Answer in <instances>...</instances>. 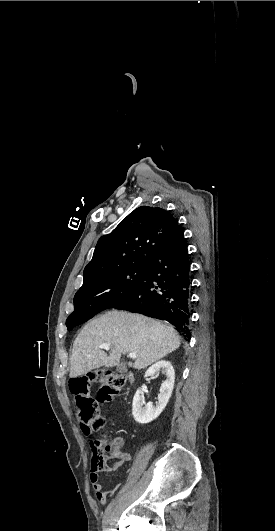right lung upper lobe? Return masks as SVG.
I'll return each mask as SVG.
<instances>
[{"label":"right lung upper lobe","instance_id":"right-lung-upper-lobe-1","mask_svg":"<svg viewBox=\"0 0 275 531\" xmlns=\"http://www.w3.org/2000/svg\"><path fill=\"white\" fill-rule=\"evenodd\" d=\"M179 226L176 219L158 207L141 206L125 217L96 245L83 272V284L111 271L146 266Z\"/></svg>","mask_w":275,"mask_h":531}]
</instances>
